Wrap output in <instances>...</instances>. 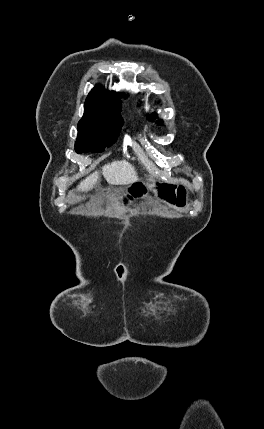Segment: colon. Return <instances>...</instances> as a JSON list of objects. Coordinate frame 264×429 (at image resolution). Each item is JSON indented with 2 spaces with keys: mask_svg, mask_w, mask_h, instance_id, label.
Here are the masks:
<instances>
[{
  "mask_svg": "<svg viewBox=\"0 0 264 429\" xmlns=\"http://www.w3.org/2000/svg\"><path fill=\"white\" fill-rule=\"evenodd\" d=\"M158 192L160 197L170 204L176 206H183L185 204V189L183 187L176 188L171 184H162L158 187ZM145 193H147V188L138 183L132 186L125 199L130 200Z\"/></svg>",
  "mask_w": 264,
  "mask_h": 429,
  "instance_id": "obj_1",
  "label": "colon"
}]
</instances>
